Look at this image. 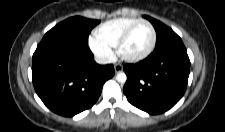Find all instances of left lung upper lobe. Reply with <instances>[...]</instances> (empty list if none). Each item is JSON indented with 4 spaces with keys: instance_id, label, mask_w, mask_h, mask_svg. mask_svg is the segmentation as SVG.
<instances>
[{
    "instance_id": "1",
    "label": "left lung upper lobe",
    "mask_w": 225,
    "mask_h": 132,
    "mask_svg": "<svg viewBox=\"0 0 225 132\" xmlns=\"http://www.w3.org/2000/svg\"><path fill=\"white\" fill-rule=\"evenodd\" d=\"M144 18L148 19L156 30L157 40L155 49H159L169 44L182 42L181 38L171 28L167 27L160 21L146 15Z\"/></svg>"
}]
</instances>
